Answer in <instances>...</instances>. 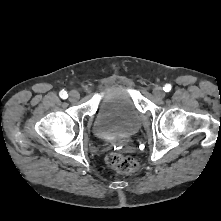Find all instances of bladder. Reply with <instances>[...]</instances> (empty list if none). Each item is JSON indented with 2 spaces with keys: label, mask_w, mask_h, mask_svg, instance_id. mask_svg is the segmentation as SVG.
Segmentation results:
<instances>
[{
  "label": "bladder",
  "mask_w": 221,
  "mask_h": 221,
  "mask_svg": "<svg viewBox=\"0 0 221 221\" xmlns=\"http://www.w3.org/2000/svg\"><path fill=\"white\" fill-rule=\"evenodd\" d=\"M140 129V115L132 96L123 87L110 88L101 98L93 131L102 139L129 138Z\"/></svg>",
  "instance_id": "1"
}]
</instances>
